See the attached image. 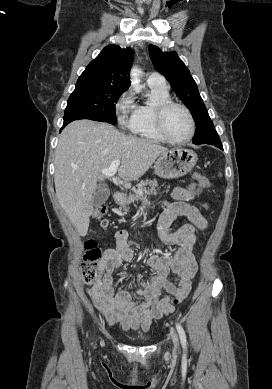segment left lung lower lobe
Wrapping results in <instances>:
<instances>
[{"instance_id":"left-lung-lower-lobe-1","label":"left lung lower lobe","mask_w":272,"mask_h":389,"mask_svg":"<svg viewBox=\"0 0 272 389\" xmlns=\"http://www.w3.org/2000/svg\"><path fill=\"white\" fill-rule=\"evenodd\" d=\"M202 143L211 144V145H214V146L223 150L222 143H221L220 138H219L217 133L213 134L212 136H210L208 139H206ZM202 143H200V144H202Z\"/></svg>"}]
</instances>
